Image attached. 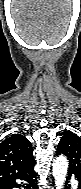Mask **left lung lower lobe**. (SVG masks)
<instances>
[{
    "label": "left lung lower lobe",
    "instance_id": "0a47b994",
    "mask_svg": "<svg viewBox=\"0 0 81 189\" xmlns=\"http://www.w3.org/2000/svg\"><path fill=\"white\" fill-rule=\"evenodd\" d=\"M69 176H70V174H69ZM80 180V179H79ZM80 186H81V180H80ZM80 189V188H79Z\"/></svg>",
    "mask_w": 81,
    "mask_h": 189
}]
</instances>
